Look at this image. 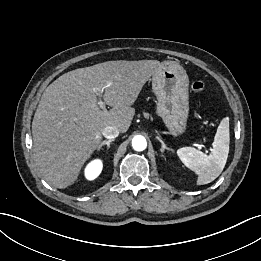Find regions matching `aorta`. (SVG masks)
I'll list each match as a JSON object with an SVG mask.
<instances>
[{
	"mask_svg": "<svg viewBox=\"0 0 261 261\" xmlns=\"http://www.w3.org/2000/svg\"><path fill=\"white\" fill-rule=\"evenodd\" d=\"M132 147L136 151H143V150H145L146 147H147V142H146L145 137H143L141 135L135 136L132 139Z\"/></svg>",
	"mask_w": 261,
	"mask_h": 261,
	"instance_id": "obj_1",
	"label": "aorta"
}]
</instances>
